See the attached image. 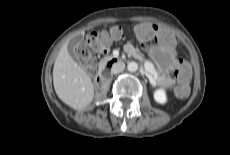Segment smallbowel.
Segmentation results:
<instances>
[{"instance_id": "small-bowel-1", "label": "small bowel", "mask_w": 230, "mask_h": 155, "mask_svg": "<svg viewBox=\"0 0 230 155\" xmlns=\"http://www.w3.org/2000/svg\"><path fill=\"white\" fill-rule=\"evenodd\" d=\"M134 35L139 38V43L149 47L153 43L158 44L162 50L163 57L171 60L176 57L177 50L174 46L178 43V37L172 32L163 28L161 23L151 21L149 23L139 22L134 26Z\"/></svg>"}]
</instances>
